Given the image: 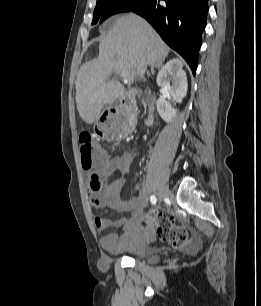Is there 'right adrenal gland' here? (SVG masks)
Segmentation results:
<instances>
[{"label": "right adrenal gland", "mask_w": 261, "mask_h": 306, "mask_svg": "<svg viewBox=\"0 0 261 306\" xmlns=\"http://www.w3.org/2000/svg\"><path fill=\"white\" fill-rule=\"evenodd\" d=\"M162 66V63H155V64H152L151 65V73H148V76H150V75H154V69L155 68H160Z\"/></svg>", "instance_id": "2a0ac1e0"}]
</instances>
